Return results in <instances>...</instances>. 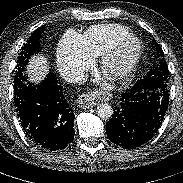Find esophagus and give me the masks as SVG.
I'll use <instances>...</instances> for the list:
<instances>
[{"label":"esophagus","mask_w":183,"mask_h":183,"mask_svg":"<svg viewBox=\"0 0 183 183\" xmlns=\"http://www.w3.org/2000/svg\"><path fill=\"white\" fill-rule=\"evenodd\" d=\"M112 95L104 91H95L87 94H81L77 99L78 107L81 109H89L97 105L101 101L110 100Z\"/></svg>","instance_id":"1"}]
</instances>
